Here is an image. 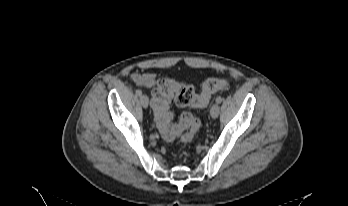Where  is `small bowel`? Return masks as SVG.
<instances>
[{"label":"small bowel","instance_id":"obj_1","mask_svg":"<svg viewBox=\"0 0 348 206\" xmlns=\"http://www.w3.org/2000/svg\"><path fill=\"white\" fill-rule=\"evenodd\" d=\"M130 78L136 84L146 88H152L158 84L156 74L152 72H143V73L133 72L131 73Z\"/></svg>","mask_w":348,"mask_h":206}]
</instances>
